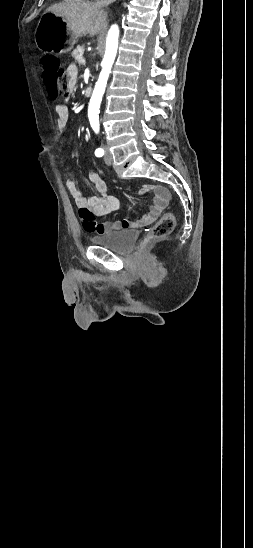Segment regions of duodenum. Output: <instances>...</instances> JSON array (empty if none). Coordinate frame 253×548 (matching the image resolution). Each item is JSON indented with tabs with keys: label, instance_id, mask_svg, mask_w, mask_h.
Masks as SVG:
<instances>
[{
	"label": "duodenum",
	"instance_id": "410a0bca",
	"mask_svg": "<svg viewBox=\"0 0 253 548\" xmlns=\"http://www.w3.org/2000/svg\"><path fill=\"white\" fill-rule=\"evenodd\" d=\"M92 92H93V90H92L91 87H87V88L85 89V95H86L87 97H90V96L92 95Z\"/></svg>",
	"mask_w": 253,
	"mask_h": 548
}]
</instances>
